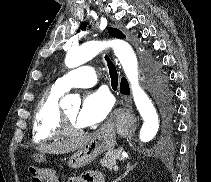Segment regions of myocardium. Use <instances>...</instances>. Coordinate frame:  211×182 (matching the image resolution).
<instances>
[{
  "label": "myocardium",
  "mask_w": 211,
  "mask_h": 182,
  "mask_svg": "<svg viewBox=\"0 0 211 182\" xmlns=\"http://www.w3.org/2000/svg\"><path fill=\"white\" fill-rule=\"evenodd\" d=\"M58 132L61 136L76 137L82 135L84 130L74 126L66 116L64 110L60 109L58 115Z\"/></svg>",
  "instance_id": "myocardium-1"
}]
</instances>
